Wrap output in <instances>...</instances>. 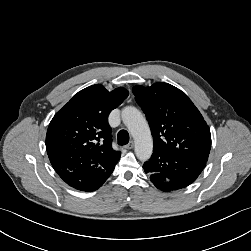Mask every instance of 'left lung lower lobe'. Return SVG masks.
<instances>
[{
    "label": "left lung lower lobe",
    "mask_w": 251,
    "mask_h": 251,
    "mask_svg": "<svg viewBox=\"0 0 251 251\" xmlns=\"http://www.w3.org/2000/svg\"><path fill=\"white\" fill-rule=\"evenodd\" d=\"M205 165L206 162L202 160L154 151L143 169L158 189L169 192L193 183Z\"/></svg>",
    "instance_id": "1"
}]
</instances>
